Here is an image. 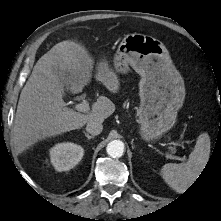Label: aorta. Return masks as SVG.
<instances>
[{
	"label": "aorta",
	"mask_w": 221,
	"mask_h": 221,
	"mask_svg": "<svg viewBox=\"0 0 221 221\" xmlns=\"http://www.w3.org/2000/svg\"><path fill=\"white\" fill-rule=\"evenodd\" d=\"M107 153L113 158H119L124 152V143L120 140H113L107 145Z\"/></svg>",
	"instance_id": "1"
}]
</instances>
